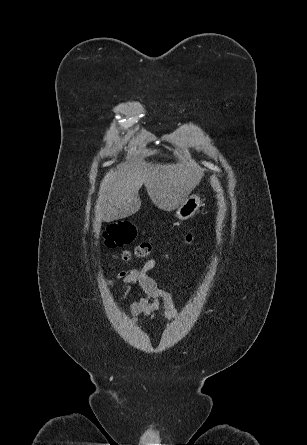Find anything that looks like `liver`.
Returning <instances> with one entry per match:
<instances>
[{
    "label": "liver",
    "mask_w": 307,
    "mask_h": 445,
    "mask_svg": "<svg viewBox=\"0 0 307 445\" xmlns=\"http://www.w3.org/2000/svg\"><path fill=\"white\" fill-rule=\"evenodd\" d=\"M202 178L201 168L192 162H148L145 158L122 164L105 176L95 204L97 218H126L139 210V190L144 184L153 204L162 210H175Z\"/></svg>",
    "instance_id": "1"
}]
</instances>
